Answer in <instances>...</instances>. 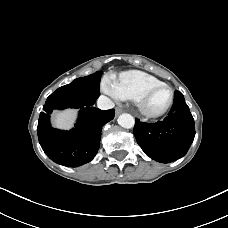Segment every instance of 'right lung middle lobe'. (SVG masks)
<instances>
[{
    "label": "right lung middle lobe",
    "mask_w": 228,
    "mask_h": 228,
    "mask_svg": "<svg viewBox=\"0 0 228 228\" xmlns=\"http://www.w3.org/2000/svg\"><path fill=\"white\" fill-rule=\"evenodd\" d=\"M102 72L77 78L72 83L58 88L53 95L75 99L84 104L92 105L100 95L99 85Z\"/></svg>",
    "instance_id": "obj_1"
}]
</instances>
